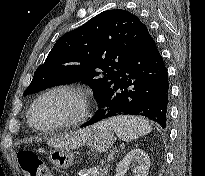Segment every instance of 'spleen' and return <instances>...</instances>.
<instances>
[{"instance_id":"1","label":"spleen","mask_w":205,"mask_h":176,"mask_svg":"<svg viewBox=\"0 0 205 176\" xmlns=\"http://www.w3.org/2000/svg\"><path fill=\"white\" fill-rule=\"evenodd\" d=\"M100 125L114 131L123 141H131L151 132L148 121L138 116H117L104 120Z\"/></svg>"}]
</instances>
